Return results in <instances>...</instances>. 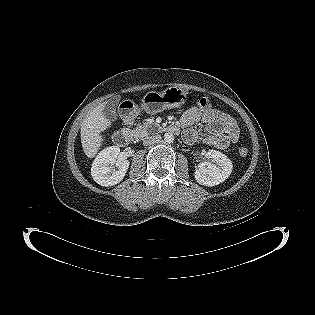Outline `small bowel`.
Instances as JSON below:
<instances>
[{
  "label": "small bowel",
  "mask_w": 315,
  "mask_h": 315,
  "mask_svg": "<svg viewBox=\"0 0 315 315\" xmlns=\"http://www.w3.org/2000/svg\"><path fill=\"white\" fill-rule=\"evenodd\" d=\"M183 128V138L186 143L198 141L218 149H225L237 141L239 129L235 120L225 112L215 108L201 109L193 107L185 111L180 119ZM203 123V132H198L194 126Z\"/></svg>",
  "instance_id": "c3829d8e"
}]
</instances>
